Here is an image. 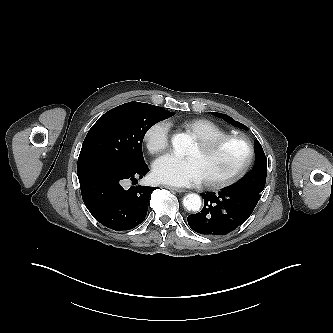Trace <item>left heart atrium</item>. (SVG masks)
Instances as JSON below:
<instances>
[{
	"label": "left heart atrium",
	"instance_id": "left-heart-atrium-1",
	"mask_svg": "<svg viewBox=\"0 0 333 333\" xmlns=\"http://www.w3.org/2000/svg\"><path fill=\"white\" fill-rule=\"evenodd\" d=\"M153 175L159 182L182 187L196 185L204 180L194 158H180L173 154H166L154 162Z\"/></svg>",
	"mask_w": 333,
	"mask_h": 333
}]
</instances>
